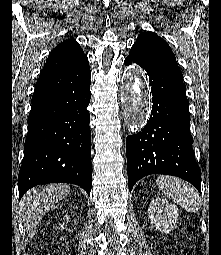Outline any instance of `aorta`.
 <instances>
[{
	"instance_id": "762f6f07",
	"label": "aorta",
	"mask_w": 221,
	"mask_h": 255,
	"mask_svg": "<svg viewBox=\"0 0 221 255\" xmlns=\"http://www.w3.org/2000/svg\"><path fill=\"white\" fill-rule=\"evenodd\" d=\"M122 103L131 129H141L148 120L151 97L146 82L138 68H133L124 83Z\"/></svg>"
}]
</instances>
